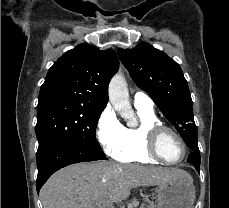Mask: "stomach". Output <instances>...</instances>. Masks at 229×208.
Returning a JSON list of instances; mask_svg holds the SVG:
<instances>
[{"instance_id": "1", "label": "stomach", "mask_w": 229, "mask_h": 208, "mask_svg": "<svg viewBox=\"0 0 229 208\" xmlns=\"http://www.w3.org/2000/svg\"><path fill=\"white\" fill-rule=\"evenodd\" d=\"M157 208H192L196 190L193 180H166L157 190Z\"/></svg>"}]
</instances>
